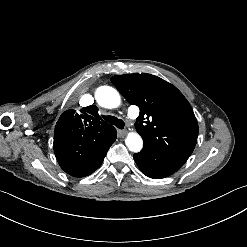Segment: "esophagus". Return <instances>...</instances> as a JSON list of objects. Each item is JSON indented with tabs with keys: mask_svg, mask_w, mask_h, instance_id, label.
Listing matches in <instances>:
<instances>
[{
	"mask_svg": "<svg viewBox=\"0 0 247 247\" xmlns=\"http://www.w3.org/2000/svg\"><path fill=\"white\" fill-rule=\"evenodd\" d=\"M126 135V130H118L117 131V136L119 138H123Z\"/></svg>",
	"mask_w": 247,
	"mask_h": 247,
	"instance_id": "esophagus-1",
	"label": "esophagus"
}]
</instances>
